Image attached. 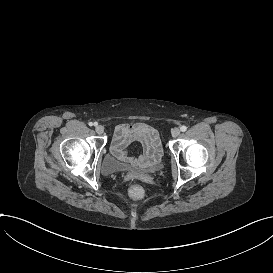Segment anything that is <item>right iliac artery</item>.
Returning a JSON list of instances; mask_svg holds the SVG:
<instances>
[{
	"mask_svg": "<svg viewBox=\"0 0 273 273\" xmlns=\"http://www.w3.org/2000/svg\"><path fill=\"white\" fill-rule=\"evenodd\" d=\"M95 126V125H97V123L95 122V123H92V122H89V126Z\"/></svg>",
	"mask_w": 273,
	"mask_h": 273,
	"instance_id": "1",
	"label": "right iliac artery"
}]
</instances>
